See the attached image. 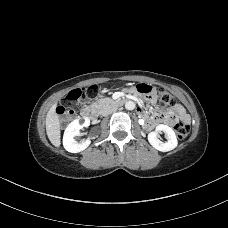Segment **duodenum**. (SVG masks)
Listing matches in <instances>:
<instances>
[{"instance_id":"1","label":"duodenum","mask_w":228,"mask_h":228,"mask_svg":"<svg viewBox=\"0 0 228 228\" xmlns=\"http://www.w3.org/2000/svg\"><path fill=\"white\" fill-rule=\"evenodd\" d=\"M129 99H114L111 101V104L114 106H123L124 104L128 103ZM99 114V107H90L84 108L81 112V117L85 120H95ZM153 119L150 118L148 122H152Z\"/></svg>"}]
</instances>
